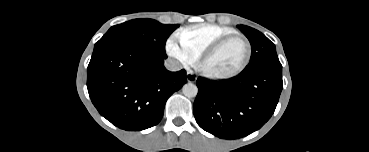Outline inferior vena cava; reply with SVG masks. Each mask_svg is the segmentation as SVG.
I'll return each mask as SVG.
<instances>
[{
	"instance_id": "inferior-vena-cava-1",
	"label": "inferior vena cava",
	"mask_w": 369,
	"mask_h": 152,
	"mask_svg": "<svg viewBox=\"0 0 369 152\" xmlns=\"http://www.w3.org/2000/svg\"><path fill=\"white\" fill-rule=\"evenodd\" d=\"M165 67L169 71H179L182 69V65L175 59L168 58L165 60Z\"/></svg>"
}]
</instances>
